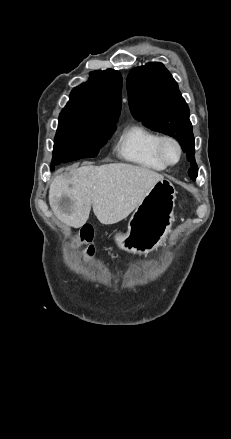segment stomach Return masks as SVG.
<instances>
[{
	"instance_id": "1",
	"label": "stomach",
	"mask_w": 231,
	"mask_h": 439,
	"mask_svg": "<svg viewBox=\"0 0 231 439\" xmlns=\"http://www.w3.org/2000/svg\"><path fill=\"white\" fill-rule=\"evenodd\" d=\"M176 193L171 181H158L132 214L127 233L115 234L117 246L134 254H148L162 245L174 221Z\"/></svg>"
}]
</instances>
